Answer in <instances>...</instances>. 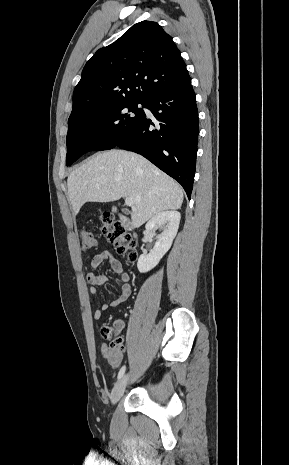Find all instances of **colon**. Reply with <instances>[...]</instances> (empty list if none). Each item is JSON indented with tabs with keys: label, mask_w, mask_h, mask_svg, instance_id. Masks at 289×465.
<instances>
[{
	"label": "colon",
	"mask_w": 289,
	"mask_h": 465,
	"mask_svg": "<svg viewBox=\"0 0 289 465\" xmlns=\"http://www.w3.org/2000/svg\"><path fill=\"white\" fill-rule=\"evenodd\" d=\"M102 231L108 240L116 247L119 253L123 254L129 261L135 259L134 246L135 242L126 232L125 228L116 222L110 213H104L100 218ZM81 248L83 250H92L96 247L97 241L93 232L89 228H82L79 232ZM116 329L111 325H104L101 329L103 337L111 339V349L117 355L121 352L123 346L120 338L115 337Z\"/></svg>",
	"instance_id": "5ec220e1"
}]
</instances>
